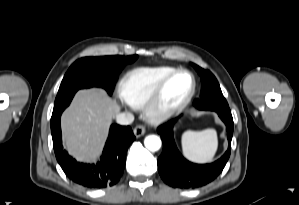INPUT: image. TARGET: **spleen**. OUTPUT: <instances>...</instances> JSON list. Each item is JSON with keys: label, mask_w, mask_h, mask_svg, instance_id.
Wrapping results in <instances>:
<instances>
[{"label": "spleen", "mask_w": 299, "mask_h": 205, "mask_svg": "<svg viewBox=\"0 0 299 205\" xmlns=\"http://www.w3.org/2000/svg\"><path fill=\"white\" fill-rule=\"evenodd\" d=\"M181 145L184 156L190 161L210 162L218 148L216 130L186 131L181 136Z\"/></svg>", "instance_id": "3e777b00"}]
</instances>
